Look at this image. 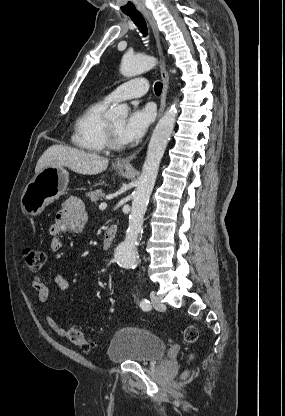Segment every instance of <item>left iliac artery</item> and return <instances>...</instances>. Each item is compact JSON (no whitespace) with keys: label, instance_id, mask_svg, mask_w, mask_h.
Masks as SVG:
<instances>
[{"label":"left iliac artery","instance_id":"1","mask_svg":"<svg viewBox=\"0 0 285 416\" xmlns=\"http://www.w3.org/2000/svg\"><path fill=\"white\" fill-rule=\"evenodd\" d=\"M140 307L144 311L151 310L150 301L148 299H146V298H143L142 301L140 302Z\"/></svg>","mask_w":285,"mask_h":416}]
</instances>
